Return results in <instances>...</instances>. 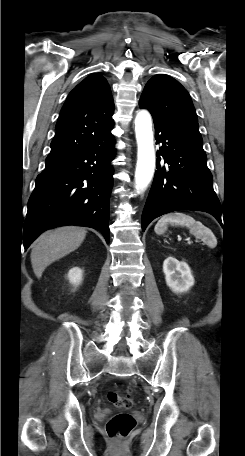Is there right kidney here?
<instances>
[{
    "instance_id": "right-kidney-1",
    "label": "right kidney",
    "mask_w": 245,
    "mask_h": 456,
    "mask_svg": "<svg viewBox=\"0 0 245 456\" xmlns=\"http://www.w3.org/2000/svg\"><path fill=\"white\" fill-rule=\"evenodd\" d=\"M83 272L80 268L74 267L68 272V279L71 284L78 286L82 281Z\"/></svg>"
}]
</instances>
